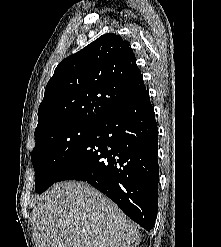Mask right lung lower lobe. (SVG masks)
<instances>
[{"label":"right lung lower lobe","instance_id":"obj_1","mask_svg":"<svg viewBox=\"0 0 221 247\" xmlns=\"http://www.w3.org/2000/svg\"><path fill=\"white\" fill-rule=\"evenodd\" d=\"M157 140L154 109L145 90L97 124L55 182H88L149 231L158 206Z\"/></svg>","mask_w":221,"mask_h":247}]
</instances>
